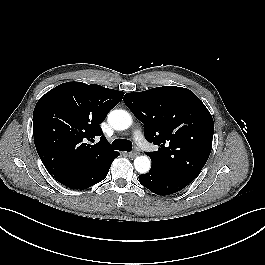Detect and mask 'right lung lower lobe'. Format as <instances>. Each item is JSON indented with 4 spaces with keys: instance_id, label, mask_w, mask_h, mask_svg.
Here are the masks:
<instances>
[{
    "instance_id": "1",
    "label": "right lung lower lobe",
    "mask_w": 265,
    "mask_h": 265,
    "mask_svg": "<svg viewBox=\"0 0 265 265\" xmlns=\"http://www.w3.org/2000/svg\"><path fill=\"white\" fill-rule=\"evenodd\" d=\"M118 155L111 158L106 164L101 167L66 175L56 180L71 189L89 188L94 184L102 181L107 176L111 163Z\"/></svg>"
}]
</instances>
